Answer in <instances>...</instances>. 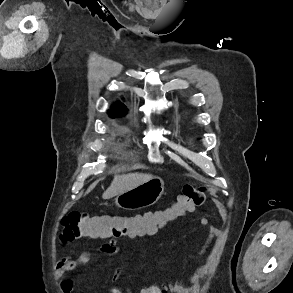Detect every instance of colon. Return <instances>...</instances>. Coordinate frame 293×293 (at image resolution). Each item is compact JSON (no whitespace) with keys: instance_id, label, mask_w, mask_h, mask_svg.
Returning <instances> with one entry per match:
<instances>
[{"instance_id":"5ec220e1","label":"colon","mask_w":293,"mask_h":293,"mask_svg":"<svg viewBox=\"0 0 293 293\" xmlns=\"http://www.w3.org/2000/svg\"><path fill=\"white\" fill-rule=\"evenodd\" d=\"M205 191L204 186L186 184L168 208L148 212V215L147 213L142 215L90 214L70 211L61 219L60 239L62 242L73 241L84 236L107 239L162 227L198 207L204 199ZM144 291L157 293V290L152 287H146Z\"/></svg>"}]
</instances>
